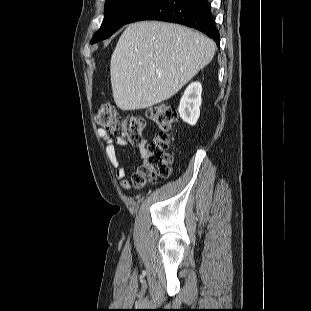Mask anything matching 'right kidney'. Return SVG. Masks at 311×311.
Segmentation results:
<instances>
[{
    "label": "right kidney",
    "instance_id": "ca27d5eb",
    "mask_svg": "<svg viewBox=\"0 0 311 311\" xmlns=\"http://www.w3.org/2000/svg\"><path fill=\"white\" fill-rule=\"evenodd\" d=\"M202 86L199 82H192L184 91L180 100L178 112L182 120L195 125L200 116Z\"/></svg>",
    "mask_w": 311,
    "mask_h": 311
}]
</instances>
